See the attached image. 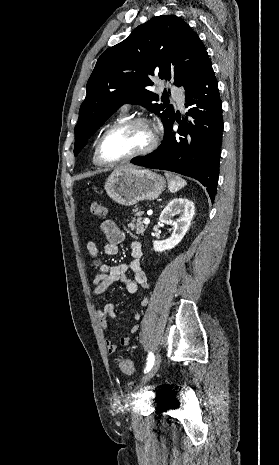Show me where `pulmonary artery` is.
I'll list each match as a JSON object with an SVG mask.
<instances>
[{
    "mask_svg": "<svg viewBox=\"0 0 279 465\" xmlns=\"http://www.w3.org/2000/svg\"><path fill=\"white\" fill-rule=\"evenodd\" d=\"M172 96H173L174 100L177 102V104L179 105V107L182 108L183 103H184L183 93L180 90L174 88V89H172ZM123 108L125 110H127L128 106L125 105Z\"/></svg>",
    "mask_w": 279,
    "mask_h": 465,
    "instance_id": "obj_1",
    "label": "pulmonary artery"
}]
</instances>
